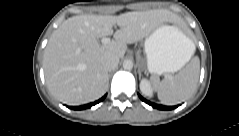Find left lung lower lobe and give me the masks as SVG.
<instances>
[{"instance_id": "obj_1", "label": "left lung lower lobe", "mask_w": 239, "mask_h": 136, "mask_svg": "<svg viewBox=\"0 0 239 136\" xmlns=\"http://www.w3.org/2000/svg\"><path fill=\"white\" fill-rule=\"evenodd\" d=\"M139 98L144 101L145 103L149 104L150 106H152L153 108H157V109H160V110H172V109H175L177 108L178 106H163V105H159V104H155V103H152L146 99H144L140 94H138Z\"/></svg>"}]
</instances>
